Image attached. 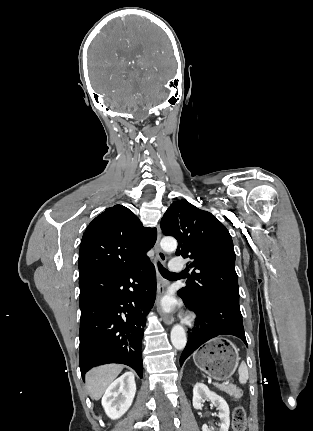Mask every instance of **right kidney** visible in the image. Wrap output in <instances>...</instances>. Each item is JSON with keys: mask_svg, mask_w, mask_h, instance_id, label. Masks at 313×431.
<instances>
[{"mask_svg": "<svg viewBox=\"0 0 313 431\" xmlns=\"http://www.w3.org/2000/svg\"><path fill=\"white\" fill-rule=\"evenodd\" d=\"M136 393L135 377L132 372H126L105 391L102 406L107 416L113 420L120 418L130 408Z\"/></svg>", "mask_w": 313, "mask_h": 431, "instance_id": "ca27d5eb", "label": "right kidney"}]
</instances>
